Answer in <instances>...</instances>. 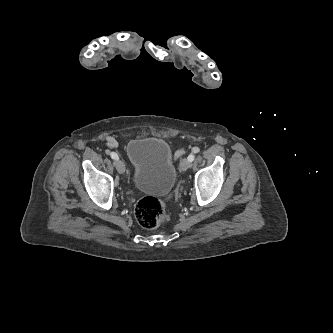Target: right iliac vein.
<instances>
[{"instance_id": "right-iliac-vein-1", "label": "right iliac vein", "mask_w": 333, "mask_h": 333, "mask_svg": "<svg viewBox=\"0 0 333 333\" xmlns=\"http://www.w3.org/2000/svg\"><path fill=\"white\" fill-rule=\"evenodd\" d=\"M115 167H116L117 171L120 174H124V172H125V165H124V163L121 160H116Z\"/></svg>"}]
</instances>
